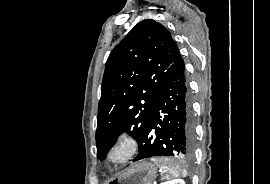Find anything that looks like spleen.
I'll return each mask as SVG.
<instances>
[{"mask_svg":"<svg viewBox=\"0 0 270 184\" xmlns=\"http://www.w3.org/2000/svg\"><path fill=\"white\" fill-rule=\"evenodd\" d=\"M161 170L163 171V173L165 174V179L167 180H171L174 179L176 177H178V171L176 168H174L171 164L169 163H164L161 167ZM167 182H162L161 184H166Z\"/></svg>","mask_w":270,"mask_h":184,"instance_id":"3e777b00","label":"spleen"}]
</instances>
